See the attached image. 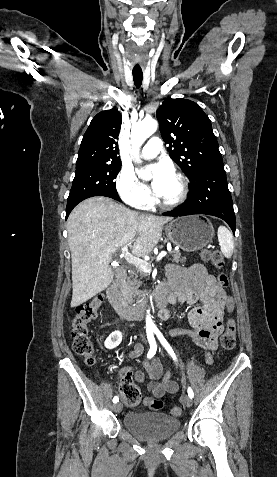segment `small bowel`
Here are the masks:
<instances>
[{
    "label": "small bowel",
    "mask_w": 277,
    "mask_h": 477,
    "mask_svg": "<svg viewBox=\"0 0 277 477\" xmlns=\"http://www.w3.org/2000/svg\"><path fill=\"white\" fill-rule=\"evenodd\" d=\"M166 274L169 282L162 291L172 293L176 300L189 305H193L197 301L201 302V305L195 306L189 313L191 327L172 329L170 334L188 336L193 344L204 352L207 363L211 364L210 351L216 348L218 337L225 329L223 307L228 295L218 279L208 274L201 264L190 267L171 264L167 266ZM167 317L166 311L160 314L161 319ZM142 352L143 346L137 342L128 353V357L136 358ZM144 368L150 378L148 390L154 397L153 399H159L166 393L173 394L178 391V383L171 378L170 372L164 373L158 358L144 362ZM131 378V369H123V382L131 380ZM134 378L137 382H143L146 374L143 371H137L134 373ZM147 399L144 400L145 405H147Z\"/></svg>",
    "instance_id": "obj_1"
}]
</instances>
